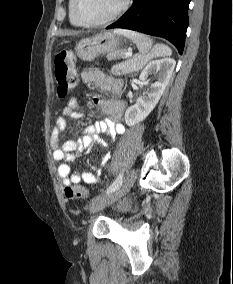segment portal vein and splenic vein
Listing matches in <instances>:
<instances>
[{
    "label": "portal vein and splenic vein",
    "instance_id": "18ae733b",
    "mask_svg": "<svg viewBox=\"0 0 233 284\" xmlns=\"http://www.w3.org/2000/svg\"><path fill=\"white\" fill-rule=\"evenodd\" d=\"M126 56H132V52L131 51L127 52Z\"/></svg>",
    "mask_w": 233,
    "mask_h": 284
}]
</instances>
